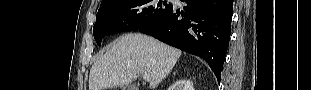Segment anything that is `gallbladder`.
Here are the masks:
<instances>
[{
	"label": "gallbladder",
	"instance_id": "bac80fb5",
	"mask_svg": "<svg viewBox=\"0 0 311 90\" xmlns=\"http://www.w3.org/2000/svg\"><path fill=\"white\" fill-rule=\"evenodd\" d=\"M124 90H137V86L134 84H129L124 87Z\"/></svg>",
	"mask_w": 311,
	"mask_h": 90
}]
</instances>
